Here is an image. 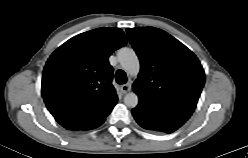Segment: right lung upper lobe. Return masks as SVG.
Returning <instances> with one entry per match:
<instances>
[{"label": "right lung upper lobe", "mask_w": 248, "mask_h": 158, "mask_svg": "<svg viewBox=\"0 0 248 158\" xmlns=\"http://www.w3.org/2000/svg\"><path fill=\"white\" fill-rule=\"evenodd\" d=\"M127 43L119 28H98L69 39L48 59L42 79L45 104L64 128L81 130L106 117L118 98L108 57Z\"/></svg>", "instance_id": "obj_1"}]
</instances>
